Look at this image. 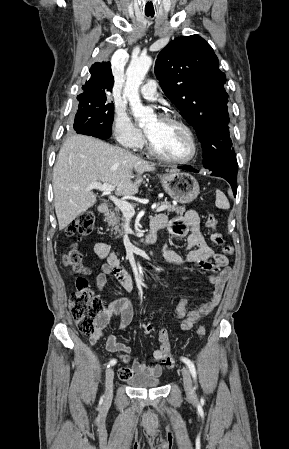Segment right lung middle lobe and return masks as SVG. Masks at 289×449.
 Listing matches in <instances>:
<instances>
[{"instance_id": "1", "label": "right lung middle lobe", "mask_w": 289, "mask_h": 449, "mask_svg": "<svg viewBox=\"0 0 289 449\" xmlns=\"http://www.w3.org/2000/svg\"><path fill=\"white\" fill-rule=\"evenodd\" d=\"M79 106L74 121V130L81 133L91 130L93 133L110 136L114 119V105L109 102L106 93L78 95Z\"/></svg>"}]
</instances>
